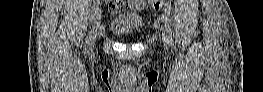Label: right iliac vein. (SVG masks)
Wrapping results in <instances>:
<instances>
[{
	"label": "right iliac vein",
	"instance_id": "1",
	"mask_svg": "<svg viewBox=\"0 0 263 92\" xmlns=\"http://www.w3.org/2000/svg\"><path fill=\"white\" fill-rule=\"evenodd\" d=\"M101 10H100V14L97 15V26H95V30L93 31L90 40H89V47L92 48L95 45L96 39L99 35V33L102 31L103 26L101 25Z\"/></svg>",
	"mask_w": 263,
	"mask_h": 92
}]
</instances>
